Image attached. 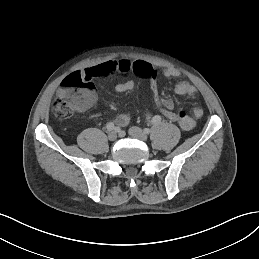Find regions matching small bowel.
<instances>
[{
    "label": "small bowel",
    "mask_w": 259,
    "mask_h": 259,
    "mask_svg": "<svg viewBox=\"0 0 259 259\" xmlns=\"http://www.w3.org/2000/svg\"><path fill=\"white\" fill-rule=\"evenodd\" d=\"M133 73L140 77H145L150 81L151 91L153 93L155 103L160 111L169 117L174 111V103L170 99H163L158 94L157 89V77L158 71L150 63L143 60L130 61L127 59L109 60L98 65L86 68L82 73V77L91 82L92 80L111 74H128ZM166 78H175L179 75V72L175 69H166L164 71ZM135 84L133 81H125L116 85V91L119 93H125L133 90ZM175 92L179 95L193 97L196 94V89L193 85L186 81L179 82L175 87ZM203 116V109L200 107H194L191 110L190 115L186 116V119L179 125L184 130H191L196 126V121ZM131 120V116L128 113L119 114L115 118V123L121 127L127 126Z\"/></svg>",
    "instance_id": "c3829d8e"
}]
</instances>
